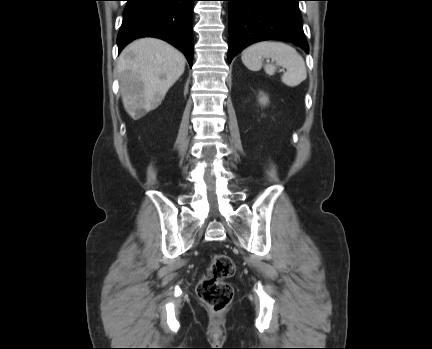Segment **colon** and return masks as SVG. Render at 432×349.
<instances>
[{
  "label": "colon",
  "mask_w": 432,
  "mask_h": 349,
  "mask_svg": "<svg viewBox=\"0 0 432 349\" xmlns=\"http://www.w3.org/2000/svg\"><path fill=\"white\" fill-rule=\"evenodd\" d=\"M235 273L234 261L225 254L214 255L207 275L197 286L199 298L213 311L225 310L233 299V287L226 281Z\"/></svg>",
  "instance_id": "1"
}]
</instances>
